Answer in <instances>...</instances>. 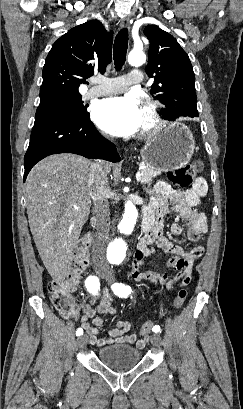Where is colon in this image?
Wrapping results in <instances>:
<instances>
[{"instance_id": "5ec220e1", "label": "colon", "mask_w": 243, "mask_h": 409, "mask_svg": "<svg viewBox=\"0 0 243 409\" xmlns=\"http://www.w3.org/2000/svg\"><path fill=\"white\" fill-rule=\"evenodd\" d=\"M201 167V163L193 162L169 172L168 176L175 185L181 188H188L194 183ZM91 244L92 235L89 233L82 235L70 260L66 279L54 280L49 284L50 300L57 311L64 317L69 318L74 315L71 295L77 288L80 275L89 265ZM186 296L187 291L180 289L174 299V307L181 308L184 305ZM153 326V321L144 323L140 331L141 336L149 335Z\"/></svg>"}]
</instances>
